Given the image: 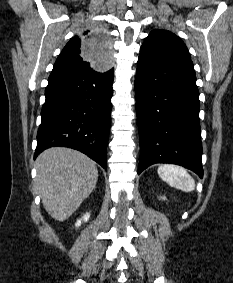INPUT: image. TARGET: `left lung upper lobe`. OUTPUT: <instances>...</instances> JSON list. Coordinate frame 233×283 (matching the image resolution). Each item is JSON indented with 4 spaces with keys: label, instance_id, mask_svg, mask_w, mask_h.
<instances>
[{
    "label": "left lung upper lobe",
    "instance_id": "left-lung-upper-lobe-1",
    "mask_svg": "<svg viewBox=\"0 0 233 283\" xmlns=\"http://www.w3.org/2000/svg\"><path fill=\"white\" fill-rule=\"evenodd\" d=\"M141 49L163 55H181L190 57L188 49L183 41L175 34L163 29H154L151 31L149 36L145 38V42L141 46Z\"/></svg>",
    "mask_w": 233,
    "mask_h": 283
}]
</instances>
